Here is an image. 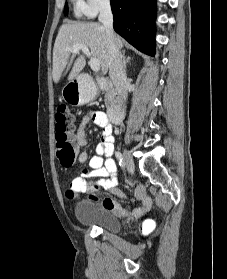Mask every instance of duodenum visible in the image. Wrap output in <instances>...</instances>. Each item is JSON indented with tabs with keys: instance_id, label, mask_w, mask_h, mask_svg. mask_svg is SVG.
<instances>
[{
	"instance_id": "obj_1",
	"label": "duodenum",
	"mask_w": 227,
	"mask_h": 279,
	"mask_svg": "<svg viewBox=\"0 0 227 279\" xmlns=\"http://www.w3.org/2000/svg\"><path fill=\"white\" fill-rule=\"evenodd\" d=\"M108 82L109 81L106 78H102L101 84H105ZM92 101H93V99H89V100L84 101L83 104H88V103H91ZM108 116L112 123H114V124L121 123V121L124 117V106L119 105L115 108H111L108 111Z\"/></svg>"
}]
</instances>
